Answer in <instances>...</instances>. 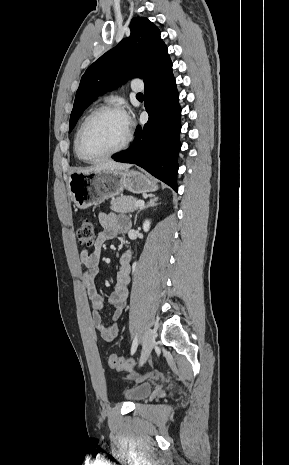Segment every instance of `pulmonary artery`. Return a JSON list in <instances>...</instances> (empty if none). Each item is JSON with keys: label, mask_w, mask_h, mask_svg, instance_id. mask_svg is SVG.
Masks as SVG:
<instances>
[{"label": "pulmonary artery", "mask_w": 289, "mask_h": 465, "mask_svg": "<svg viewBox=\"0 0 289 465\" xmlns=\"http://www.w3.org/2000/svg\"><path fill=\"white\" fill-rule=\"evenodd\" d=\"M131 89L135 92H141L143 90V84L139 79H133L131 81Z\"/></svg>", "instance_id": "e3ab8cb5"}]
</instances>
